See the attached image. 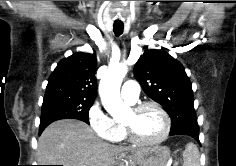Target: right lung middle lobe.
Segmentation results:
<instances>
[{
    "label": "right lung middle lobe",
    "instance_id": "obj_1",
    "mask_svg": "<svg viewBox=\"0 0 236 166\" xmlns=\"http://www.w3.org/2000/svg\"><path fill=\"white\" fill-rule=\"evenodd\" d=\"M94 99L71 97L67 95H49L44 97L40 127H46L53 121L73 118L89 124V110Z\"/></svg>",
    "mask_w": 236,
    "mask_h": 166
}]
</instances>
